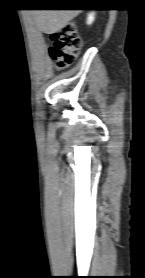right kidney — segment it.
<instances>
[{
  "label": "right kidney",
  "mask_w": 145,
  "mask_h": 278,
  "mask_svg": "<svg viewBox=\"0 0 145 278\" xmlns=\"http://www.w3.org/2000/svg\"><path fill=\"white\" fill-rule=\"evenodd\" d=\"M94 19H95V13L92 12V13H90V14L88 15L87 24H89V25L92 24L93 21H94Z\"/></svg>",
  "instance_id": "obj_1"
}]
</instances>
